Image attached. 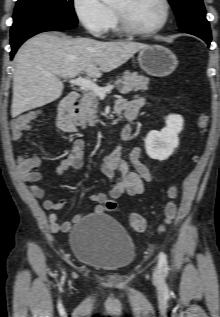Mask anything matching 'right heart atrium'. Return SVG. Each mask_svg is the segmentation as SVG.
Listing matches in <instances>:
<instances>
[{"mask_svg": "<svg viewBox=\"0 0 220 317\" xmlns=\"http://www.w3.org/2000/svg\"><path fill=\"white\" fill-rule=\"evenodd\" d=\"M74 13L92 35L103 36L109 29L112 12L101 0H73Z\"/></svg>", "mask_w": 220, "mask_h": 317, "instance_id": "1", "label": "right heart atrium"}]
</instances>
